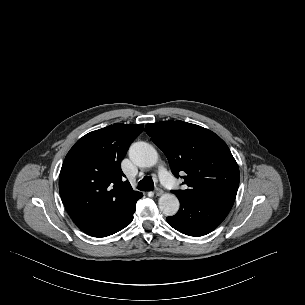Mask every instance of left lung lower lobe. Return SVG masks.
<instances>
[{"mask_svg":"<svg viewBox=\"0 0 305 305\" xmlns=\"http://www.w3.org/2000/svg\"><path fill=\"white\" fill-rule=\"evenodd\" d=\"M180 209L167 222L177 231L189 236H203L213 231L226 218L233 203L227 199L191 201L178 198Z\"/></svg>","mask_w":305,"mask_h":305,"instance_id":"0a47b994","label":"left lung lower lobe"}]
</instances>
